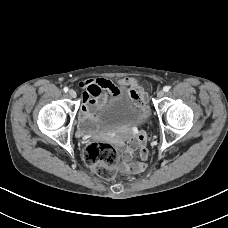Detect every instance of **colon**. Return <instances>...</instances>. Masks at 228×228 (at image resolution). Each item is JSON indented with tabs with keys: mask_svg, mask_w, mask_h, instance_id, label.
I'll return each mask as SVG.
<instances>
[{
	"mask_svg": "<svg viewBox=\"0 0 228 228\" xmlns=\"http://www.w3.org/2000/svg\"><path fill=\"white\" fill-rule=\"evenodd\" d=\"M119 159V150L105 142H93L84 152L86 164L103 178H113L116 175Z\"/></svg>",
	"mask_w": 228,
	"mask_h": 228,
	"instance_id": "5ec220e1",
	"label": "colon"
}]
</instances>
